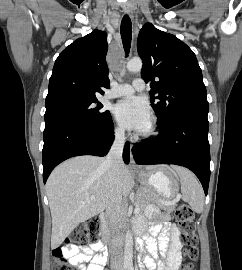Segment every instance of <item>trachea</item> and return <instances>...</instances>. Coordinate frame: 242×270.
Segmentation results:
<instances>
[{
    "mask_svg": "<svg viewBox=\"0 0 242 270\" xmlns=\"http://www.w3.org/2000/svg\"><path fill=\"white\" fill-rule=\"evenodd\" d=\"M120 32L125 52L128 54L132 38V23L128 15L122 19Z\"/></svg>",
    "mask_w": 242,
    "mask_h": 270,
    "instance_id": "1",
    "label": "trachea"
}]
</instances>
